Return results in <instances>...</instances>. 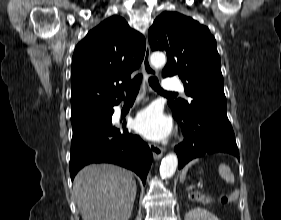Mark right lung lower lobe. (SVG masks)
Instances as JSON below:
<instances>
[{
  "label": "right lung lower lobe",
  "mask_w": 281,
  "mask_h": 220,
  "mask_svg": "<svg viewBox=\"0 0 281 220\" xmlns=\"http://www.w3.org/2000/svg\"><path fill=\"white\" fill-rule=\"evenodd\" d=\"M72 124L70 176L90 163H113L134 171L143 184L153 156L150 148L138 135L120 130L111 122L113 106Z\"/></svg>",
  "instance_id": "right-lung-lower-lobe-1"
}]
</instances>
